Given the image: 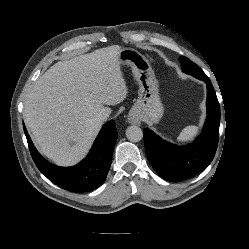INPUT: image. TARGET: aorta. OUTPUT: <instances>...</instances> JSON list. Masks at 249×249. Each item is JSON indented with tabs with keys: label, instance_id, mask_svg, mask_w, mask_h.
<instances>
[{
	"label": "aorta",
	"instance_id": "aorta-1",
	"mask_svg": "<svg viewBox=\"0 0 249 249\" xmlns=\"http://www.w3.org/2000/svg\"><path fill=\"white\" fill-rule=\"evenodd\" d=\"M126 137L131 142H138L143 138V133L140 127L133 125L126 129Z\"/></svg>",
	"mask_w": 249,
	"mask_h": 249
}]
</instances>
